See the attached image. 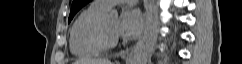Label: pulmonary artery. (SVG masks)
<instances>
[{"label":"pulmonary artery","mask_w":242,"mask_h":64,"mask_svg":"<svg viewBox=\"0 0 242 64\" xmlns=\"http://www.w3.org/2000/svg\"><path fill=\"white\" fill-rule=\"evenodd\" d=\"M137 0H96L94 4L108 10L112 6L118 3H129V4H136Z\"/></svg>","instance_id":"pulmonary-artery-1"}]
</instances>
